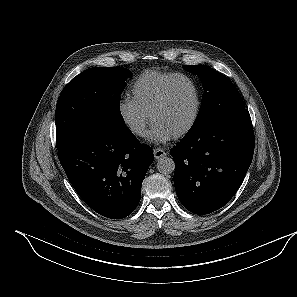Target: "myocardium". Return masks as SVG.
Here are the masks:
<instances>
[{
	"instance_id": "obj_1",
	"label": "myocardium",
	"mask_w": 297,
	"mask_h": 297,
	"mask_svg": "<svg viewBox=\"0 0 297 297\" xmlns=\"http://www.w3.org/2000/svg\"><path fill=\"white\" fill-rule=\"evenodd\" d=\"M180 80H185L192 86L194 93H195V106H194L193 114H192L190 120L188 121V123L182 129H180L178 132H176L174 135H172V137L174 139L181 138V137L185 136L186 134H188L192 130V128L195 126V124L198 120L200 110H201V105H202V98H201L200 89H199L197 83L188 75L177 74L176 76H174L171 80H169L166 83V85L163 87L159 97L154 102V104L152 105V107L149 111V119H150V122L153 123V117H154L155 113L160 108H162V106L166 103L172 86L177 81H180Z\"/></svg>"
}]
</instances>
